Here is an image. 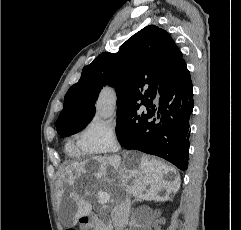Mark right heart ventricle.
<instances>
[{"label":"right heart ventricle","mask_w":241,"mask_h":230,"mask_svg":"<svg viewBox=\"0 0 241 230\" xmlns=\"http://www.w3.org/2000/svg\"><path fill=\"white\" fill-rule=\"evenodd\" d=\"M66 151L74 156V157H80L84 154H86L87 152L84 151V149L82 148L80 142H78L77 144H74L72 142H69L66 146Z\"/></svg>","instance_id":"obj_1"}]
</instances>
